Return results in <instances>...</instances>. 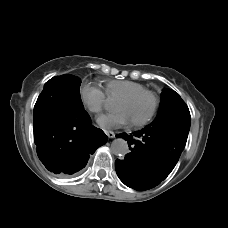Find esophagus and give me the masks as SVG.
Returning a JSON list of instances; mask_svg holds the SVG:
<instances>
[{
    "label": "esophagus",
    "instance_id": "obj_1",
    "mask_svg": "<svg viewBox=\"0 0 228 228\" xmlns=\"http://www.w3.org/2000/svg\"><path fill=\"white\" fill-rule=\"evenodd\" d=\"M105 133H106V135H107L109 138H114V137H115V133L112 132V131H107V130H105Z\"/></svg>",
    "mask_w": 228,
    "mask_h": 228
}]
</instances>
